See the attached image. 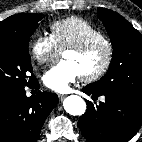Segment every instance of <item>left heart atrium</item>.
Returning a JSON list of instances; mask_svg holds the SVG:
<instances>
[{"mask_svg":"<svg viewBox=\"0 0 142 142\" xmlns=\"http://www.w3.org/2000/svg\"><path fill=\"white\" fill-rule=\"evenodd\" d=\"M81 73L77 66L69 60H63L47 70L43 76L44 84L53 91L66 92L75 83Z\"/></svg>","mask_w":142,"mask_h":142,"instance_id":"1","label":"left heart atrium"}]
</instances>
